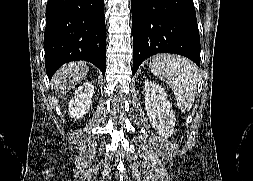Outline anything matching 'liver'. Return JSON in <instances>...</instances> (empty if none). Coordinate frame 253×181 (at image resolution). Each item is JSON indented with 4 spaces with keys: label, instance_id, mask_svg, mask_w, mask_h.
<instances>
[{
    "label": "liver",
    "instance_id": "liver-1",
    "mask_svg": "<svg viewBox=\"0 0 253 181\" xmlns=\"http://www.w3.org/2000/svg\"><path fill=\"white\" fill-rule=\"evenodd\" d=\"M89 67L85 62L69 63L58 71L54 78V84L59 87L61 94L65 95L71 88L85 79Z\"/></svg>",
    "mask_w": 253,
    "mask_h": 181
}]
</instances>
